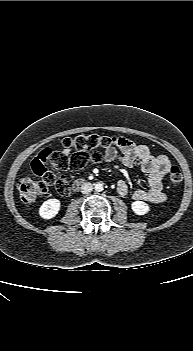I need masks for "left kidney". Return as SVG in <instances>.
<instances>
[{"label":"left kidney","instance_id":"obj_1","mask_svg":"<svg viewBox=\"0 0 193 351\" xmlns=\"http://www.w3.org/2000/svg\"><path fill=\"white\" fill-rule=\"evenodd\" d=\"M131 208L133 212L137 215H145L150 211L148 204L143 201L132 202Z\"/></svg>","mask_w":193,"mask_h":351}]
</instances>
